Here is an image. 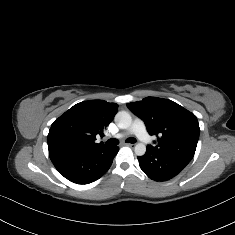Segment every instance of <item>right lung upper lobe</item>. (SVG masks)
<instances>
[{
  "instance_id": "right-lung-upper-lobe-1",
  "label": "right lung upper lobe",
  "mask_w": 235,
  "mask_h": 235,
  "mask_svg": "<svg viewBox=\"0 0 235 235\" xmlns=\"http://www.w3.org/2000/svg\"><path fill=\"white\" fill-rule=\"evenodd\" d=\"M118 105L103 100L80 102L51 125L48 148L59 151L96 150L105 148L103 142L96 143V136L113 120Z\"/></svg>"
}]
</instances>
